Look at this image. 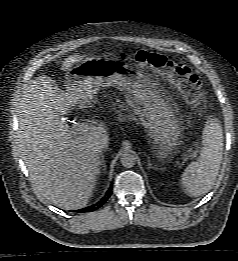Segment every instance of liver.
Segmentation results:
<instances>
[{"instance_id": "1", "label": "liver", "mask_w": 238, "mask_h": 261, "mask_svg": "<svg viewBox=\"0 0 238 261\" xmlns=\"http://www.w3.org/2000/svg\"><path fill=\"white\" fill-rule=\"evenodd\" d=\"M82 60L73 55L63 69ZM76 99L55 81L39 76L25 89L18 108V144L35 193L62 209L84 207L100 173L99 143L108 144L103 124L78 134L61 115H67Z\"/></svg>"}]
</instances>
